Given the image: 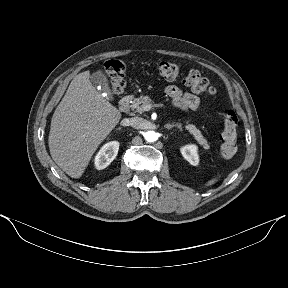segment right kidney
<instances>
[{"instance_id":"ca27d5eb","label":"right kidney","mask_w":288,"mask_h":288,"mask_svg":"<svg viewBox=\"0 0 288 288\" xmlns=\"http://www.w3.org/2000/svg\"><path fill=\"white\" fill-rule=\"evenodd\" d=\"M119 142L111 141L103 145L95 156V167L98 170L106 168L117 156Z\"/></svg>"}]
</instances>
